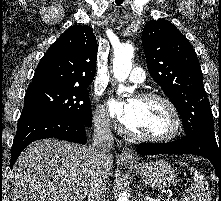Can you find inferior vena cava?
Segmentation results:
<instances>
[{
  "label": "inferior vena cava",
  "mask_w": 221,
  "mask_h": 201,
  "mask_svg": "<svg viewBox=\"0 0 221 201\" xmlns=\"http://www.w3.org/2000/svg\"><path fill=\"white\" fill-rule=\"evenodd\" d=\"M113 144L109 119L107 116H102L94 122L93 143L89 146L92 173L88 201H105L109 150Z\"/></svg>",
  "instance_id": "inferior-vena-cava-1"
}]
</instances>
